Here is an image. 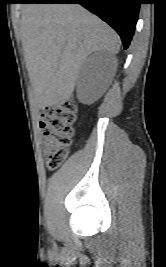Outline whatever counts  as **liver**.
<instances>
[{
	"label": "liver",
	"mask_w": 166,
	"mask_h": 267,
	"mask_svg": "<svg viewBox=\"0 0 166 267\" xmlns=\"http://www.w3.org/2000/svg\"><path fill=\"white\" fill-rule=\"evenodd\" d=\"M20 36L39 109L69 99L86 57L117 54L121 41L100 18L79 4H28Z\"/></svg>",
	"instance_id": "obj_1"
}]
</instances>
